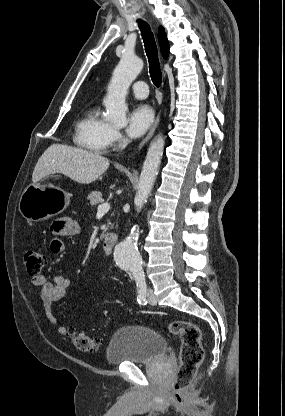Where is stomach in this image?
Instances as JSON below:
<instances>
[{"mask_svg":"<svg viewBox=\"0 0 285 416\" xmlns=\"http://www.w3.org/2000/svg\"><path fill=\"white\" fill-rule=\"evenodd\" d=\"M52 178L42 180L43 184H30L24 190L19 212L29 222H41L58 216L69 206L70 196L59 186L51 184Z\"/></svg>","mask_w":285,"mask_h":416,"instance_id":"stomach-1","label":"stomach"}]
</instances>
